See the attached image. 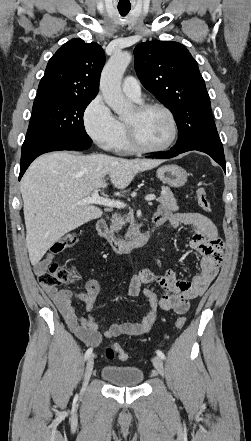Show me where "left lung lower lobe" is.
Instances as JSON below:
<instances>
[{
  "label": "left lung lower lobe",
  "mask_w": 251,
  "mask_h": 441,
  "mask_svg": "<svg viewBox=\"0 0 251 441\" xmlns=\"http://www.w3.org/2000/svg\"><path fill=\"white\" fill-rule=\"evenodd\" d=\"M197 150L210 155L225 170V157L213 117L204 115L178 129L177 143L170 151L147 158H172L181 153Z\"/></svg>",
  "instance_id": "1"
}]
</instances>
